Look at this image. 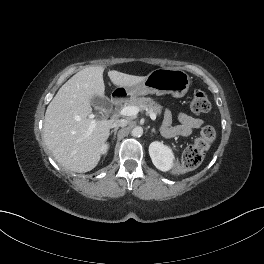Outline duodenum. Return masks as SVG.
Wrapping results in <instances>:
<instances>
[{"instance_id": "duodenum-1", "label": "duodenum", "mask_w": 264, "mask_h": 264, "mask_svg": "<svg viewBox=\"0 0 264 264\" xmlns=\"http://www.w3.org/2000/svg\"><path fill=\"white\" fill-rule=\"evenodd\" d=\"M124 96H125L124 92H118V93L114 94L112 97V103L115 105L119 104L122 101V99L124 98Z\"/></svg>"}]
</instances>
